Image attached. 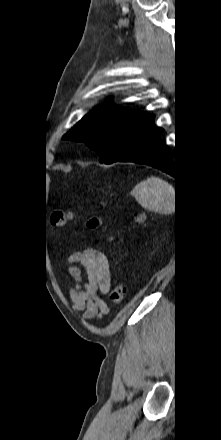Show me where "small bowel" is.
Returning <instances> with one entry per match:
<instances>
[{
    "label": "small bowel",
    "instance_id": "small-bowel-1",
    "mask_svg": "<svg viewBox=\"0 0 221 440\" xmlns=\"http://www.w3.org/2000/svg\"><path fill=\"white\" fill-rule=\"evenodd\" d=\"M68 262H80L83 266V270L74 266L67 269L75 281V286L68 292L73 308L83 311L85 319H101L109 312V306L101 296L110 290L111 285L108 258L99 250L87 249L72 254Z\"/></svg>",
    "mask_w": 221,
    "mask_h": 440
}]
</instances>
